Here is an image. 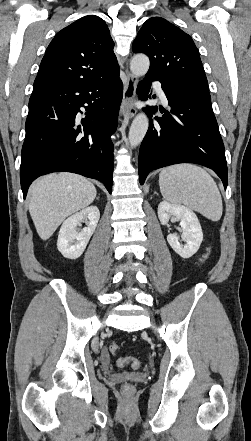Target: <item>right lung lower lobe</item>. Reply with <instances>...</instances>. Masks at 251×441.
I'll return each mask as SVG.
<instances>
[{"label": "right lung lower lobe", "mask_w": 251, "mask_h": 441, "mask_svg": "<svg viewBox=\"0 0 251 441\" xmlns=\"http://www.w3.org/2000/svg\"><path fill=\"white\" fill-rule=\"evenodd\" d=\"M122 95L119 70L89 83L32 92L21 152L24 198L37 177L56 171L97 179L112 192L110 136L117 128ZM80 107L87 111L81 120Z\"/></svg>", "instance_id": "obj_1"}]
</instances>
